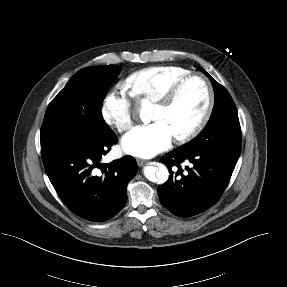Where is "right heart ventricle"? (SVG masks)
Instances as JSON below:
<instances>
[{
  "mask_svg": "<svg viewBox=\"0 0 287 287\" xmlns=\"http://www.w3.org/2000/svg\"><path fill=\"white\" fill-rule=\"evenodd\" d=\"M190 70L180 66H154L138 70L127 78L132 96L156 102Z\"/></svg>",
  "mask_w": 287,
  "mask_h": 287,
  "instance_id": "e07e8e85",
  "label": "right heart ventricle"
}]
</instances>
